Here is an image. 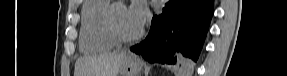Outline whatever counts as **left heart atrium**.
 Masks as SVG:
<instances>
[{"label": "left heart atrium", "mask_w": 287, "mask_h": 76, "mask_svg": "<svg viewBox=\"0 0 287 76\" xmlns=\"http://www.w3.org/2000/svg\"><path fill=\"white\" fill-rule=\"evenodd\" d=\"M128 13L134 23L141 29L149 18L146 4L141 0H135L128 8Z\"/></svg>", "instance_id": "1"}]
</instances>
